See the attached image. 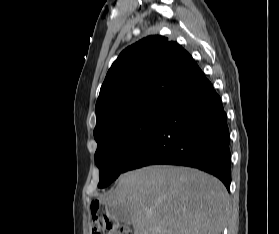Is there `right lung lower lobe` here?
Returning <instances> with one entry per match:
<instances>
[{
	"label": "right lung lower lobe",
	"mask_w": 279,
	"mask_h": 234,
	"mask_svg": "<svg viewBox=\"0 0 279 234\" xmlns=\"http://www.w3.org/2000/svg\"><path fill=\"white\" fill-rule=\"evenodd\" d=\"M153 164L196 167L218 177L229 191L227 117L203 72L166 107L123 172Z\"/></svg>",
	"instance_id": "1"
}]
</instances>
